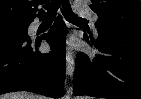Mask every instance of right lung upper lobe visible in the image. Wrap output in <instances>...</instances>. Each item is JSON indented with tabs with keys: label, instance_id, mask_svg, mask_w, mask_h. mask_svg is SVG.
I'll use <instances>...</instances> for the list:
<instances>
[{
	"label": "right lung upper lobe",
	"instance_id": "obj_1",
	"mask_svg": "<svg viewBox=\"0 0 141 99\" xmlns=\"http://www.w3.org/2000/svg\"><path fill=\"white\" fill-rule=\"evenodd\" d=\"M49 0H0V22L3 21H31L35 17L40 19L44 11H38V5Z\"/></svg>",
	"mask_w": 141,
	"mask_h": 99
}]
</instances>
